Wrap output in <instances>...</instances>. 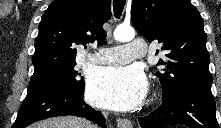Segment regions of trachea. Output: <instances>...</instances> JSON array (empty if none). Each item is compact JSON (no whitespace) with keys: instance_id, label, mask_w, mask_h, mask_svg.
I'll list each match as a JSON object with an SVG mask.
<instances>
[{"instance_id":"obj_1","label":"trachea","mask_w":221,"mask_h":128,"mask_svg":"<svg viewBox=\"0 0 221 128\" xmlns=\"http://www.w3.org/2000/svg\"><path fill=\"white\" fill-rule=\"evenodd\" d=\"M126 0H113V9L115 17L119 18L123 12Z\"/></svg>"}]
</instances>
